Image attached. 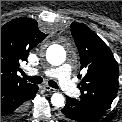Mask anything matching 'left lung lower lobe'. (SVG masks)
<instances>
[{
	"label": "left lung lower lobe",
	"instance_id": "left-lung-lower-lobe-1",
	"mask_svg": "<svg viewBox=\"0 0 122 122\" xmlns=\"http://www.w3.org/2000/svg\"><path fill=\"white\" fill-rule=\"evenodd\" d=\"M66 105L61 110L62 116L68 122H93L101 117L107 109L98 104L66 97Z\"/></svg>",
	"mask_w": 122,
	"mask_h": 122
}]
</instances>
